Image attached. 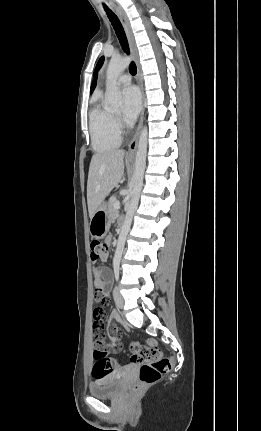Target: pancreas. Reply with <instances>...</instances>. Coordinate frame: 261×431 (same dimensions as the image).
Listing matches in <instances>:
<instances>
[{"instance_id": "pancreas-1", "label": "pancreas", "mask_w": 261, "mask_h": 431, "mask_svg": "<svg viewBox=\"0 0 261 431\" xmlns=\"http://www.w3.org/2000/svg\"><path fill=\"white\" fill-rule=\"evenodd\" d=\"M116 202H118L116 197L110 198L108 202V214L111 220H114L118 215V210L114 207Z\"/></svg>"}]
</instances>
